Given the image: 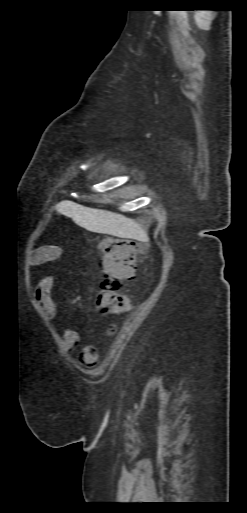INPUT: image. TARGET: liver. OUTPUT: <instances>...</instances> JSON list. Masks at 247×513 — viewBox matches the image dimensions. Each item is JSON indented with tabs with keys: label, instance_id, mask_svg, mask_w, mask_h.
Masks as SVG:
<instances>
[{
	"label": "liver",
	"instance_id": "1",
	"mask_svg": "<svg viewBox=\"0 0 247 513\" xmlns=\"http://www.w3.org/2000/svg\"><path fill=\"white\" fill-rule=\"evenodd\" d=\"M56 211L91 232L136 240L148 239L147 232L136 221L122 214L84 207L69 200L58 203Z\"/></svg>",
	"mask_w": 247,
	"mask_h": 513
}]
</instances>
